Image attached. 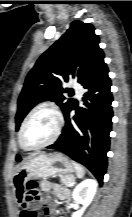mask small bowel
I'll return each instance as SVG.
<instances>
[{
	"label": "small bowel",
	"mask_w": 132,
	"mask_h": 217,
	"mask_svg": "<svg viewBox=\"0 0 132 217\" xmlns=\"http://www.w3.org/2000/svg\"><path fill=\"white\" fill-rule=\"evenodd\" d=\"M41 188L46 193L53 192L59 200L65 203H69L71 200L70 191L55 182L44 180L41 182ZM16 196L17 201L21 206L20 217H27L28 213L30 212L29 208L37 209L40 204L44 205L45 212L48 215L52 214L54 211L55 205L53 199L49 195H45L39 201L32 203L25 200L24 192L21 190L16 191Z\"/></svg>",
	"instance_id": "1"
}]
</instances>
